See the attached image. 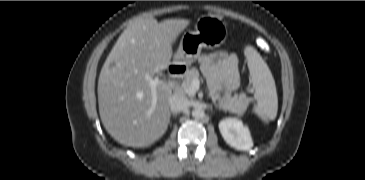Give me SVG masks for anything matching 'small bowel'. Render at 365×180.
I'll list each match as a JSON object with an SVG mask.
<instances>
[{
    "instance_id": "obj_1",
    "label": "small bowel",
    "mask_w": 365,
    "mask_h": 180,
    "mask_svg": "<svg viewBox=\"0 0 365 180\" xmlns=\"http://www.w3.org/2000/svg\"><path fill=\"white\" fill-rule=\"evenodd\" d=\"M238 58L234 54L220 51L203 55L200 64L206 75L211 92L217 96L220 91L234 93L240 85Z\"/></svg>"
}]
</instances>
